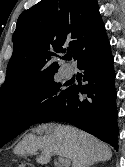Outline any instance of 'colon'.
<instances>
[{
	"label": "colon",
	"instance_id": "1",
	"mask_svg": "<svg viewBox=\"0 0 125 167\" xmlns=\"http://www.w3.org/2000/svg\"><path fill=\"white\" fill-rule=\"evenodd\" d=\"M17 167H34V164L30 161L21 160L18 162Z\"/></svg>",
	"mask_w": 125,
	"mask_h": 167
}]
</instances>
